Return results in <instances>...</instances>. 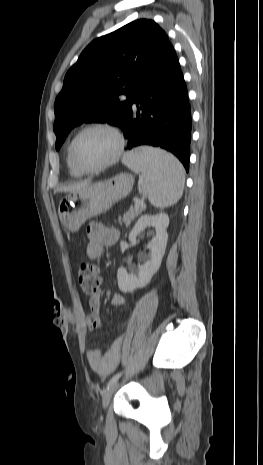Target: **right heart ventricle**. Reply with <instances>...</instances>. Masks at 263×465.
I'll list each match as a JSON object with an SVG mask.
<instances>
[{
  "instance_id": "e07e8e85",
  "label": "right heart ventricle",
  "mask_w": 263,
  "mask_h": 465,
  "mask_svg": "<svg viewBox=\"0 0 263 465\" xmlns=\"http://www.w3.org/2000/svg\"><path fill=\"white\" fill-rule=\"evenodd\" d=\"M66 165H67V168L69 170V173L72 177L74 178H78V177H81L83 174L80 173L79 171H77L74 166L72 165L71 163V160H70V157H69V147L67 149V154H66Z\"/></svg>"
}]
</instances>
